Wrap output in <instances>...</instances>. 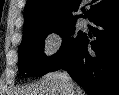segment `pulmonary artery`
<instances>
[{
    "label": "pulmonary artery",
    "mask_w": 119,
    "mask_h": 95,
    "mask_svg": "<svg viewBox=\"0 0 119 95\" xmlns=\"http://www.w3.org/2000/svg\"><path fill=\"white\" fill-rule=\"evenodd\" d=\"M82 24H83V25H86V22H85V21H82Z\"/></svg>",
    "instance_id": "e3ab8cb5"
}]
</instances>
